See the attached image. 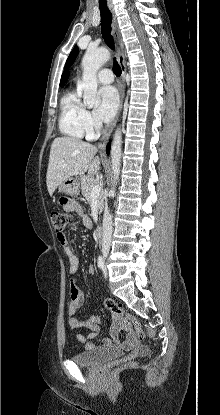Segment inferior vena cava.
<instances>
[{"label":"inferior vena cava","instance_id":"inferior-vena-cava-1","mask_svg":"<svg viewBox=\"0 0 220 415\" xmlns=\"http://www.w3.org/2000/svg\"><path fill=\"white\" fill-rule=\"evenodd\" d=\"M112 218L111 216H108L105 218L104 220V234H103V239H102V248L106 251H109L110 246H111V239H112Z\"/></svg>","mask_w":220,"mask_h":415}]
</instances>
